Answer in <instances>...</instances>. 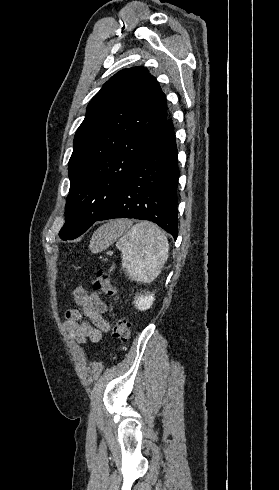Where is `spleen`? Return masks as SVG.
<instances>
[{
	"label": "spleen",
	"instance_id": "1",
	"mask_svg": "<svg viewBox=\"0 0 279 490\" xmlns=\"http://www.w3.org/2000/svg\"><path fill=\"white\" fill-rule=\"evenodd\" d=\"M117 238H120L116 246L122 252V268H126L130 278L142 284L154 282L167 262L169 250L167 238L160 228L152 222L132 226L129 220H114L98 228L90 250L95 254L103 252Z\"/></svg>",
	"mask_w": 279,
	"mask_h": 490
}]
</instances>
